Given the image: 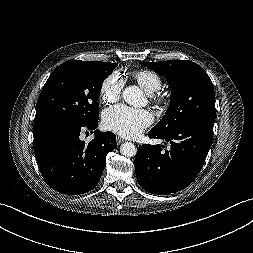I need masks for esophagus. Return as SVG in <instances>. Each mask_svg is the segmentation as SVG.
<instances>
[{"mask_svg": "<svg viewBox=\"0 0 253 253\" xmlns=\"http://www.w3.org/2000/svg\"><path fill=\"white\" fill-rule=\"evenodd\" d=\"M116 141H117L118 144H121V143L125 142V140L120 138V137H117Z\"/></svg>", "mask_w": 253, "mask_h": 253, "instance_id": "1", "label": "esophagus"}]
</instances>
